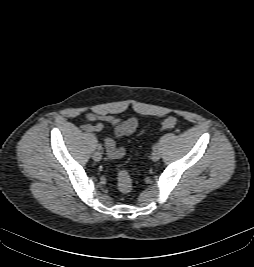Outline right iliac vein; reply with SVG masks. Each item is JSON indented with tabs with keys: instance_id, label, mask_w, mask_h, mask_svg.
<instances>
[{
	"instance_id": "1",
	"label": "right iliac vein",
	"mask_w": 254,
	"mask_h": 267,
	"mask_svg": "<svg viewBox=\"0 0 254 267\" xmlns=\"http://www.w3.org/2000/svg\"><path fill=\"white\" fill-rule=\"evenodd\" d=\"M101 158H102V154H101L100 151H96V152H94V154H93V159H94L95 161H100Z\"/></svg>"
}]
</instances>
